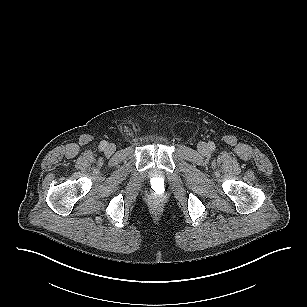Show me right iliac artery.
I'll use <instances>...</instances> for the list:
<instances>
[{"label":"right iliac artery","instance_id":"1","mask_svg":"<svg viewBox=\"0 0 307 307\" xmlns=\"http://www.w3.org/2000/svg\"><path fill=\"white\" fill-rule=\"evenodd\" d=\"M107 145V142L106 141H101L100 145H99V148L100 150H103L105 148V146Z\"/></svg>","mask_w":307,"mask_h":307}]
</instances>
